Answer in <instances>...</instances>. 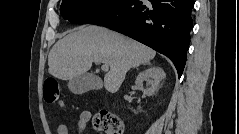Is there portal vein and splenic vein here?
<instances>
[{
  "mask_svg": "<svg viewBox=\"0 0 239 134\" xmlns=\"http://www.w3.org/2000/svg\"><path fill=\"white\" fill-rule=\"evenodd\" d=\"M102 70L104 71H108L109 70V66L106 63H103L101 66Z\"/></svg>",
  "mask_w": 239,
  "mask_h": 134,
  "instance_id": "obj_1",
  "label": "portal vein and splenic vein"
}]
</instances>
